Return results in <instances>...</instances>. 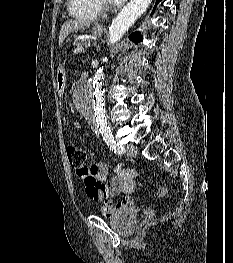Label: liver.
<instances>
[{
	"instance_id": "1",
	"label": "liver",
	"mask_w": 233,
	"mask_h": 263,
	"mask_svg": "<svg viewBox=\"0 0 233 263\" xmlns=\"http://www.w3.org/2000/svg\"><path fill=\"white\" fill-rule=\"evenodd\" d=\"M90 27V23L87 21L75 19V20H69L66 21L60 30V35H59V45L61 46L64 39L74 31L78 30H84Z\"/></svg>"
}]
</instances>
